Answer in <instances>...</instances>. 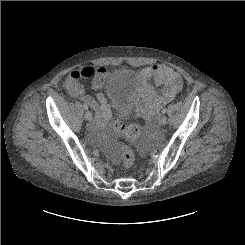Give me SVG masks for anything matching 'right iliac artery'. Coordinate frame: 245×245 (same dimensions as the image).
<instances>
[{
	"instance_id": "right-iliac-artery-1",
	"label": "right iliac artery",
	"mask_w": 245,
	"mask_h": 245,
	"mask_svg": "<svg viewBox=\"0 0 245 245\" xmlns=\"http://www.w3.org/2000/svg\"><path fill=\"white\" fill-rule=\"evenodd\" d=\"M83 107H84L85 110H88L87 104H83Z\"/></svg>"
}]
</instances>
